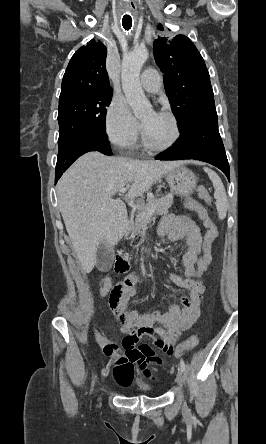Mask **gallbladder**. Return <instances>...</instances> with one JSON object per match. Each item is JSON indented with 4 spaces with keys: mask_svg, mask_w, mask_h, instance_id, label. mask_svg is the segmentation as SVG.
<instances>
[{
    "mask_svg": "<svg viewBox=\"0 0 266 444\" xmlns=\"http://www.w3.org/2000/svg\"><path fill=\"white\" fill-rule=\"evenodd\" d=\"M113 264V252L101 242L97 249V268L101 271H109Z\"/></svg>",
    "mask_w": 266,
    "mask_h": 444,
    "instance_id": "1",
    "label": "gallbladder"
}]
</instances>
